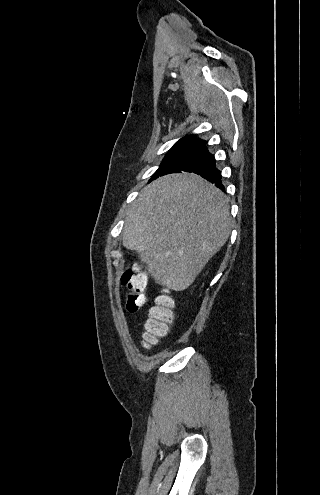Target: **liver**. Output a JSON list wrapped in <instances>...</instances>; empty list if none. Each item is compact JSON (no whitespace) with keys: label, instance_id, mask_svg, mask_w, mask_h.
<instances>
[{"label":"liver","instance_id":"1","mask_svg":"<svg viewBox=\"0 0 320 495\" xmlns=\"http://www.w3.org/2000/svg\"><path fill=\"white\" fill-rule=\"evenodd\" d=\"M226 195L195 173L153 181L129 209L123 245L137 251L155 281L188 288L231 232Z\"/></svg>","mask_w":320,"mask_h":495}]
</instances>
